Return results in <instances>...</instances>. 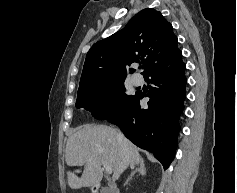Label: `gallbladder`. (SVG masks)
Returning a JSON list of instances; mask_svg holds the SVG:
<instances>
[{
  "instance_id": "1",
  "label": "gallbladder",
  "mask_w": 237,
  "mask_h": 193,
  "mask_svg": "<svg viewBox=\"0 0 237 193\" xmlns=\"http://www.w3.org/2000/svg\"><path fill=\"white\" fill-rule=\"evenodd\" d=\"M101 193H106V189L103 188V189L101 190Z\"/></svg>"
}]
</instances>
